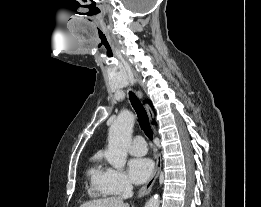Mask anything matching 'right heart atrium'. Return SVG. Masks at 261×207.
<instances>
[{"label":"right heart atrium","mask_w":261,"mask_h":207,"mask_svg":"<svg viewBox=\"0 0 261 207\" xmlns=\"http://www.w3.org/2000/svg\"><path fill=\"white\" fill-rule=\"evenodd\" d=\"M102 184L108 194H120L128 189L131 185L127 176L120 170L106 168L102 176Z\"/></svg>","instance_id":"d8ad5b80"}]
</instances>
